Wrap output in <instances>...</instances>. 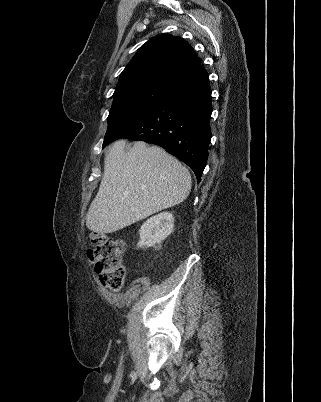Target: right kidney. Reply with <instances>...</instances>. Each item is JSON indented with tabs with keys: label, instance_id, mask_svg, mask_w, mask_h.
Instances as JSON below:
<instances>
[{
	"label": "right kidney",
	"instance_id": "right-kidney-1",
	"mask_svg": "<svg viewBox=\"0 0 321 402\" xmlns=\"http://www.w3.org/2000/svg\"><path fill=\"white\" fill-rule=\"evenodd\" d=\"M174 218L169 212H162L147 219L139 230L140 240L137 244L140 248H148L160 245L173 230Z\"/></svg>",
	"mask_w": 321,
	"mask_h": 402
}]
</instances>
